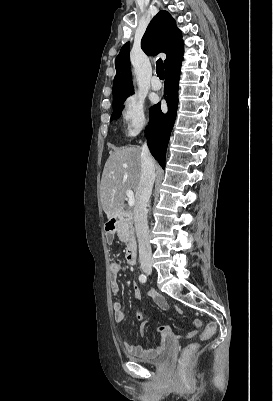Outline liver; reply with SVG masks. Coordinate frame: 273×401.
Listing matches in <instances>:
<instances>
[{"instance_id":"liver-1","label":"liver","mask_w":273,"mask_h":401,"mask_svg":"<svg viewBox=\"0 0 273 401\" xmlns=\"http://www.w3.org/2000/svg\"><path fill=\"white\" fill-rule=\"evenodd\" d=\"M141 148L122 146L111 150L101 178V205L107 219H116L124 209L126 190H134L140 182Z\"/></svg>"}]
</instances>
